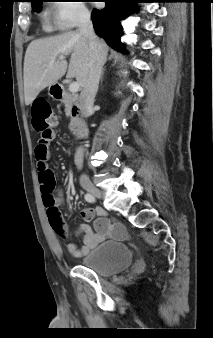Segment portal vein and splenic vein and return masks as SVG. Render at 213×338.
<instances>
[{
  "instance_id": "obj_1",
  "label": "portal vein and splenic vein",
  "mask_w": 213,
  "mask_h": 338,
  "mask_svg": "<svg viewBox=\"0 0 213 338\" xmlns=\"http://www.w3.org/2000/svg\"><path fill=\"white\" fill-rule=\"evenodd\" d=\"M64 58H65L64 56H59V59H60V60H63ZM79 87H80L79 83H77V82H72V83L70 84V86H69V90H70V92H72V93H76V92L79 91Z\"/></svg>"
}]
</instances>
